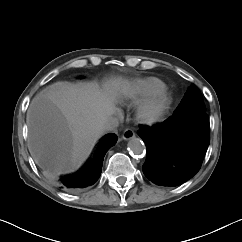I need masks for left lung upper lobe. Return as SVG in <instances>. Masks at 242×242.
I'll use <instances>...</instances> for the list:
<instances>
[{"label": "left lung upper lobe", "mask_w": 242, "mask_h": 242, "mask_svg": "<svg viewBox=\"0 0 242 242\" xmlns=\"http://www.w3.org/2000/svg\"><path fill=\"white\" fill-rule=\"evenodd\" d=\"M191 114H206V107L202 95L196 86H191L185 93L180 105L171 118L179 121Z\"/></svg>", "instance_id": "obj_1"}]
</instances>
